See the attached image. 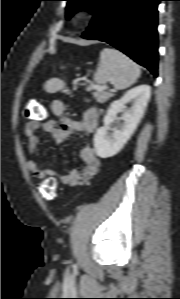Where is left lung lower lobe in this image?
Wrapping results in <instances>:
<instances>
[{
  "label": "left lung lower lobe",
  "mask_w": 180,
  "mask_h": 299,
  "mask_svg": "<svg viewBox=\"0 0 180 299\" xmlns=\"http://www.w3.org/2000/svg\"><path fill=\"white\" fill-rule=\"evenodd\" d=\"M160 1L101 0L82 37L109 43L157 77Z\"/></svg>",
  "instance_id": "1"
}]
</instances>
